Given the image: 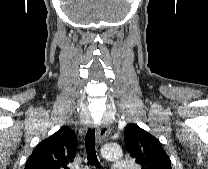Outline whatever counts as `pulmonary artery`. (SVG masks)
Segmentation results:
<instances>
[{
    "instance_id": "1",
    "label": "pulmonary artery",
    "mask_w": 208,
    "mask_h": 169,
    "mask_svg": "<svg viewBox=\"0 0 208 169\" xmlns=\"http://www.w3.org/2000/svg\"><path fill=\"white\" fill-rule=\"evenodd\" d=\"M132 163L126 159H117L112 165V169H132Z\"/></svg>"
}]
</instances>
